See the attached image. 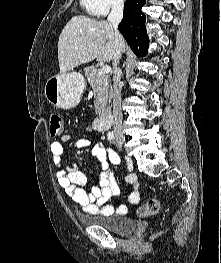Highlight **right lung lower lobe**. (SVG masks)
Listing matches in <instances>:
<instances>
[{"instance_id": "98d812e1", "label": "right lung lower lobe", "mask_w": 221, "mask_h": 263, "mask_svg": "<svg viewBox=\"0 0 221 263\" xmlns=\"http://www.w3.org/2000/svg\"><path fill=\"white\" fill-rule=\"evenodd\" d=\"M145 3L146 0H126L123 20L118 27L132 51L138 57L146 56L149 46V38L145 27V14L141 10Z\"/></svg>"}]
</instances>
